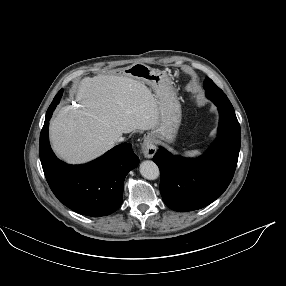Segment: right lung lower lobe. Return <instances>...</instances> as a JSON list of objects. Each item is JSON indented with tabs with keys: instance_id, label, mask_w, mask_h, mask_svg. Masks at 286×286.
Returning a JSON list of instances; mask_svg holds the SVG:
<instances>
[{
	"instance_id": "1",
	"label": "right lung lower lobe",
	"mask_w": 286,
	"mask_h": 286,
	"mask_svg": "<svg viewBox=\"0 0 286 286\" xmlns=\"http://www.w3.org/2000/svg\"><path fill=\"white\" fill-rule=\"evenodd\" d=\"M58 101L49 106L40 134V160L47 182L58 200L71 210L92 217L111 214L122 204L124 179L139 159L132 145L123 143L84 165L59 160L48 137L49 120Z\"/></svg>"
}]
</instances>
